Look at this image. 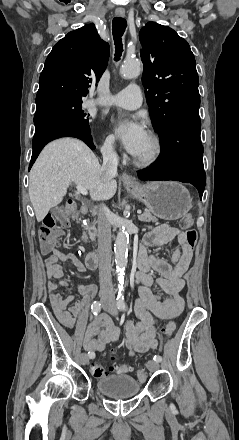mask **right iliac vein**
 Wrapping results in <instances>:
<instances>
[{"mask_svg": "<svg viewBox=\"0 0 239 440\" xmlns=\"http://www.w3.org/2000/svg\"><path fill=\"white\" fill-rule=\"evenodd\" d=\"M108 306V302H104L103 303V308L106 310V307ZM80 362H81V364H83V365H86V364H88V362H89V357H88V355L86 354V353H82L81 355H80Z\"/></svg>", "mask_w": 239, "mask_h": 440, "instance_id": "right-iliac-vein-1", "label": "right iliac vein"}]
</instances>
